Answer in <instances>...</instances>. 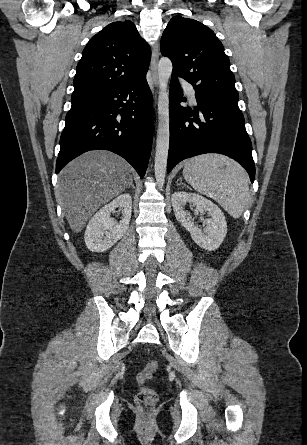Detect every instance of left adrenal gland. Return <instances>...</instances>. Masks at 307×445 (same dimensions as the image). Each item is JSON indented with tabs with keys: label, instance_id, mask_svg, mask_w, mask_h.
<instances>
[{
	"label": "left adrenal gland",
	"instance_id": "a2214340",
	"mask_svg": "<svg viewBox=\"0 0 307 445\" xmlns=\"http://www.w3.org/2000/svg\"><path fill=\"white\" fill-rule=\"evenodd\" d=\"M178 180H180V182H178V184H184V182H182V178H178ZM184 186H187V184H184Z\"/></svg>",
	"mask_w": 307,
	"mask_h": 445
}]
</instances>
